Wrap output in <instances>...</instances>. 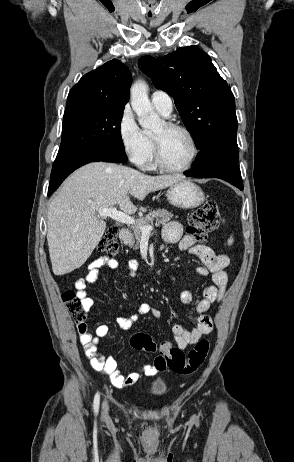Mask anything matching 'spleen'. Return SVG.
<instances>
[{
	"mask_svg": "<svg viewBox=\"0 0 294 462\" xmlns=\"http://www.w3.org/2000/svg\"><path fill=\"white\" fill-rule=\"evenodd\" d=\"M227 243H228V245H231V244L233 243V238H232V236L228 239Z\"/></svg>",
	"mask_w": 294,
	"mask_h": 462,
	"instance_id": "spleen-1",
	"label": "spleen"
}]
</instances>
